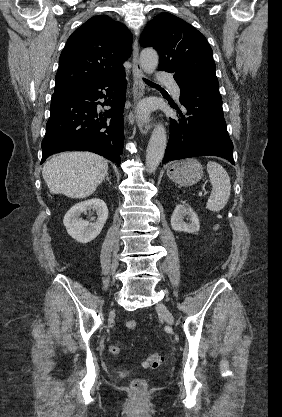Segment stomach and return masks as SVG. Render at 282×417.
<instances>
[{"instance_id": "stomach-1", "label": "stomach", "mask_w": 282, "mask_h": 417, "mask_svg": "<svg viewBox=\"0 0 282 417\" xmlns=\"http://www.w3.org/2000/svg\"><path fill=\"white\" fill-rule=\"evenodd\" d=\"M167 174L171 180L181 186L196 184L203 176V168L196 158H186L179 162H172L167 168Z\"/></svg>"}]
</instances>
